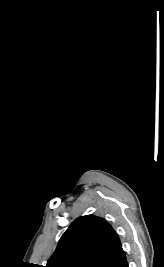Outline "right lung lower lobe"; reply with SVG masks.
<instances>
[{"label":"right lung lower lobe","instance_id":"1","mask_svg":"<svg viewBox=\"0 0 164 267\" xmlns=\"http://www.w3.org/2000/svg\"><path fill=\"white\" fill-rule=\"evenodd\" d=\"M100 267H128L124 251L122 249L119 250L113 256L105 260Z\"/></svg>","mask_w":164,"mask_h":267}]
</instances>
